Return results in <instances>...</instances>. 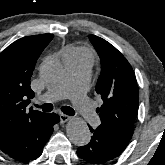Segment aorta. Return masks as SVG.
Masks as SVG:
<instances>
[{
  "label": "aorta",
  "mask_w": 165,
  "mask_h": 165,
  "mask_svg": "<svg viewBox=\"0 0 165 165\" xmlns=\"http://www.w3.org/2000/svg\"><path fill=\"white\" fill-rule=\"evenodd\" d=\"M40 77L49 83L58 82L63 75L62 65L54 60L42 63L39 69ZM66 132L69 140L77 145L84 146L90 141V130L87 123L81 118H74L67 123Z\"/></svg>",
  "instance_id": "aorta-1"
}]
</instances>
